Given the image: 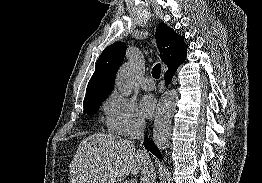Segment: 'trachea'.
I'll list each match as a JSON object with an SVG mask.
<instances>
[{"mask_svg": "<svg viewBox=\"0 0 262 183\" xmlns=\"http://www.w3.org/2000/svg\"><path fill=\"white\" fill-rule=\"evenodd\" d=\"M160 74H161V65L160 64H156L153 69H152V76L155 79H159L160 78Z\"/></svg>", "mask_w": 262, "mask_h": 183, "instance_id": "trachea-1", "label": "trachea"}]
</instances>
